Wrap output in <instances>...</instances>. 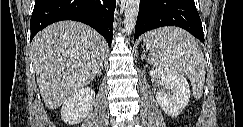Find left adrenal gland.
<instances>
[{
    "instance_id": "left-adrenal-gland-1",
    "label": "left adrenal gland",
    "mask_w": 243,
    "mask_h": 127,
    "mask_svg": "<svg viewBox=\"0 0 243 127\" xmlns=\"http://www.w3.org/2000/svg\"><path fill=\"white\" fill-rule=\"evenodd\" d=\"M141 59H142V60H144V59H145V60H148V59L146 58V55H145V53H144V52H143V54H142Z\"/></svg>"
}]
</instances>
